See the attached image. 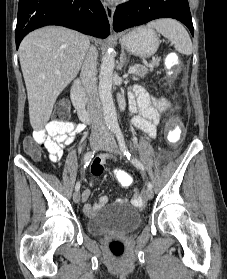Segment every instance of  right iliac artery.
Masks as SVG:
<instances>
[{
  "mask_svg": "<svg viewBox=\"0 0 227 279\" xmlns=\"http://www.w3.org/2000/svg\"><path fill=\"white\" fill-rule=\"evenodd\" d=\"M115 134V131H112V136ZM95 151L93 152H87L84 156V168H86V166H88L89 162L91 161V159L94 156ZM75 190L76 192H78L80 190V183L77 182L76 186H75Z\"/></svg>",
  "mask_w": 227,
  "mask_h": 279,
  "instance_id": "right-iliac-artery-1",
  "label": "right iliac artery"
}]
</instances>
